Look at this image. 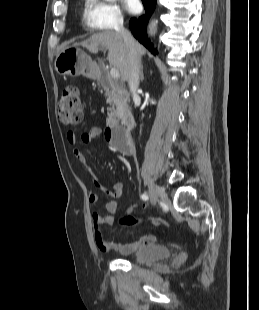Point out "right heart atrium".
<instances>
[{
	"label": "right heart atrium",
	"mask_w": 259,
	"mask_h": 310,
	"mask_svg": "<svg viewBox=\"0 0 259 310\" xmlns=\"http://www.w3.org/2000/svg\"><path fill=\"white\" fill-rule=\"evenodd\" d=\"M90 3L89 17L92 23L101 29H117L124 22L120 7L109 0H88Z\"/></svg>",
	"instance_id": "1"
}]
</instances>
